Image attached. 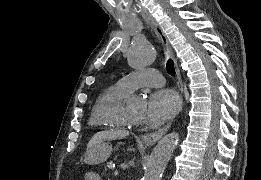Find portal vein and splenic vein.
<instances>
[{"label": "portal vein and splenic vein", "mask_w": 261, "mask_h": 180, "mask_svg": "<svg viewBox=\"0 0 261 180\" xmlns=\"http://www.w3.org/2000/svg\"><path fill=\"white\" fill-rule=\"evenodd\" d=\"M113 174H114L115 177H120L121 176V173H120L119 170H114Z\"/></svg>", "instance_id": "1"}]
</instances>
